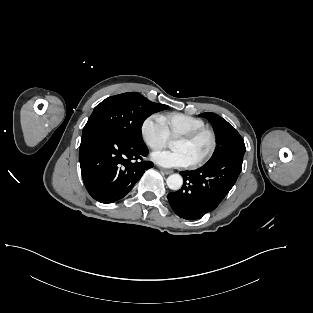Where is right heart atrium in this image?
I'll return each mask as SVG.
<instances>
[{
    "label": "right heart atrium",
    "mask_w": 313,
    "mask_h": 313,
    "mask_svg": "<svg viewBox=\"0 0 313 313\" xmlns=\"http://www.w3.org/2000/svg\"><path fill=\"white\" fill-rule=\"evenodd\" d=\"M141 136L146 145L153 150L164 147L170 138L159 115H150L144 119Z\"/></svg>",
    "instance_id": "obj_1"
}]
</instances>
